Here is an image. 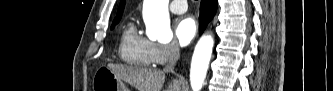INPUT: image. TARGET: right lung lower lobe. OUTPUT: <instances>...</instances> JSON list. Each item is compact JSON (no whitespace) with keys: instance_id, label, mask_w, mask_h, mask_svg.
I'll return each instance as SVG.
<instances>
[{"instance_id":"1","label":"right lung lower lobe","mask_w":333,"mask_h":91,"mask_svg":"<svg viewBox=\"0 0 333 91\" xmlns=\"http://www.w3.org/2000/svg\"><path fill=\"white\" fill-rule=\"evenodd\" d=\"M217 10V0H201L199 30L200 34L204 31L210 20L214 17Z\"/></svg>"}]
</instances>
